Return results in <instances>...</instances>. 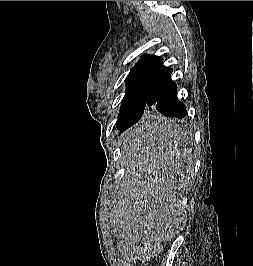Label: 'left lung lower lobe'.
Instances as JSON below:
<instances>
[{
	"instance_id": "obj_1",
	"label": "left lung lower lobe",
	"mask_w": 253,
	"mask_h": 266,
	"mask_svg": "<svg viewBox=\"0 0 253 266\" xmlns=\"http://www.w3.org/2000/svg\"><path fill=\"white\" fill-rule=\"evenodd\" d=\"M171 73L172 69L163 66L162 62L149 89L145 106L146 114H151L152 117L140 122L142 126L161 135L176 133L178 122L174 119L187 115L185 105L177 98V86L171 80ZM162 115L172 118L173 121L164 119ZM127 128L129 126L117 124V129L122 132Z\"/></svg>"
}]
</instances>
